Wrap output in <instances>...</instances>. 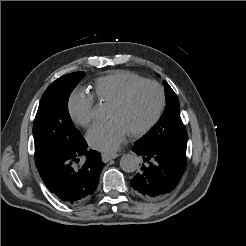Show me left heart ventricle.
<instances>
[{
  "instance_id": "b2bd125f",
  "label": "left heart ventricle",
  "mask_w": 246,
  "mask_h": 246,
  "mask_svg": "<svg viewBox=\"0 0 246 246\" xmlns=\"http://www.w3.org/2000/svg\"><path fill=\"white\" fill-rule=\"evenodd\" d=\"M159 104V91L153 85L137 88L121 106H110L108 117L118 119L129 132L147 124L156 112Z\"/></svg>"
}]
</instances>
